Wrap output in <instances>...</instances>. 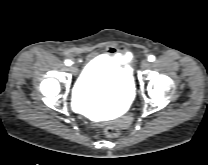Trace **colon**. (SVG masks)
I'll return each instance as SVG.
<instances>
[{
  "mask_svg": "<svg viewBox=\"0 0 208 165\" xmlns=\"http://www.w3.org/2000/svg\"><path fill=\"white\" fill-rule=\"evenodd\" d=\"M103 133L106 137L115 138L119 135L120 130L116 126L109 125V126L104 128Z\"/></svg>",
  "mask_w": 208,
  "mask_h": 165,
  "instance_id": "1",
  "label": "colon"
}]
</instances>
